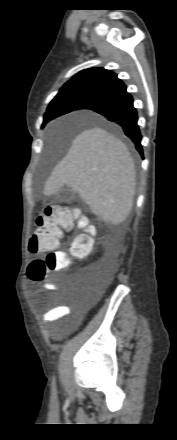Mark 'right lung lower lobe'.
<instances>
[{"instance_id":"98d812e1","label":"right lung lower lobe","mask_w":177,"mask_h":440,"mask_svg":"<svg viewBox=\"0 0 177 440\" xmlns=\"http://www.w3.org/2000/svg\"><path fill=\"white\" fill-rule=\"evenodd\" d=\"M84 109L92 110L107 120L119 124L125 135L135 144L140 155L143 156L141 133L137 124V111L133 106V98L126 88L100 100L88 104Z\"/></svg>"}]
</instances>
